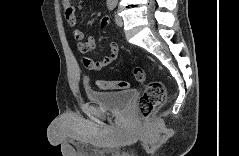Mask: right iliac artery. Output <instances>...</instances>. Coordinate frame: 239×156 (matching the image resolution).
<instances>
[{"label": "right iliac artery", "mask_w": 239, "mask_h": 156, "mask_svg": "<svg viewBox=\"0 0 239 156\" xmlns=\"http://www.w3.org/2000/svg\"><path fill=\"white\" fill-rule=\"evenodd\" d=\"M116 4L115 3H109L108 8L110 11H112L115 8Z\"/></svg>", "instance_id": "1"}]
</instances>
